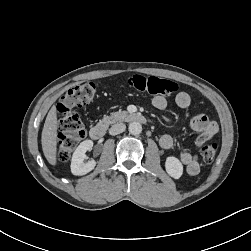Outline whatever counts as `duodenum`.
Segmentation results:
<instances>
[{"label": "duodenum", "mask_w": 251, "mask_h": 251, "mask_svg": "<svg viewBox=\"0 0 251 251\" xmlns=\"http://www.w3.org/2000/svg\"><path fill=\"white\" fill-rule=\"evenodd\" d=\"M128 122L146 123V118L138 113H127L123 117ZM106 128L104 125H94L90 128L89 135L93 140H100L104 137Z\"/></svg>", "instance_id": "duodenum-1"}]
</instances>
